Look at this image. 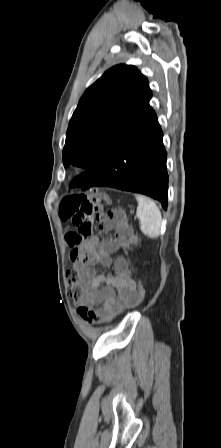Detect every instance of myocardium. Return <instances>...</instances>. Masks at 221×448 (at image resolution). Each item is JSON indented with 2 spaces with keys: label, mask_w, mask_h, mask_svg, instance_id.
I'll return each instance as SVG.
<instances>
[{
  "label": "myocardium",
  "mask_w": 221,
  "mask_h": 448,
  "mask_svg": "<svg viewBox=\"0 0 221 448\" xmlns=\"http://www.w3.org/2000/svg\"><path fill=\"white\" fill-rule=\"evenodd\" d=\"M74 174L79 178L86 177L89 174V168L86 166H78L76 167Z\"/></svg>",
  "instance_id": "f54148a6"
}]
</instances>
